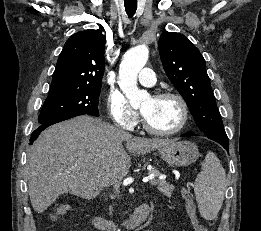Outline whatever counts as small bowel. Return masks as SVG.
Segmentation results:
<instances>
[{
    "mask_svg": "<svg viewBox=\"0 0 261 231\" xmlns=\"http://www.w3.org/2000/svg\"><path fill=\"white\" fill-rule=\"evenodd\" d=\"M182 195L186 201L188 200V198H190L189 193L186 190H183ZM146 231H151V230H146Z\"/></svg>",
    "mask_w": 261,
    "mask_h": 231,
    "instance_id": "1",
    "label": "small bowel"
}]
</instances>
